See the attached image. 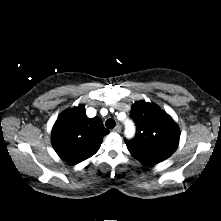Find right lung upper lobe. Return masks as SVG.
I'll return each mask as SVG.
<instances>
[{
  "instance_id": "obj_1",
  "label": "right lung upper lobe",
  "mask_w": 221,
  "mask_h": 221,
  "mask_svg": "<svg viewBox=\"0 0 221 221\" xmlns=\"http://www.w3.org/2000/svg\"><path fill=\"white\" fill-rule=\"evenodd\" d=\"M108 133L99 117L88 118L84 105H79L58 117L51 137L56 153L74 165L93 156Z\"/></svg>"
}]
</instances>
